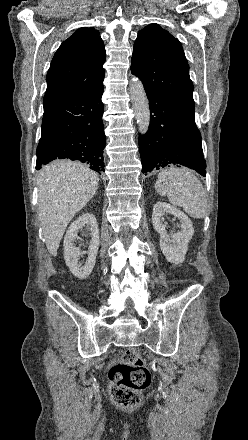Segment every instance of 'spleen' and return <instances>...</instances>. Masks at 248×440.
I'll use <instances>...</instances> for the list:
<instances>
[{"instance_id":"3e777b00","label":"spleen","mask_w":248,"mask_h":440,"mask_svg":"<svg viewBox=\"0 0 248 440\" xmlns=\"http://www.w3.org/2000/svg\"><path fill=\"white\" fill-rule=\"evenodd\" d=\"M157 193L193 218L203 219L207 213V200L199 179L189 170L170 167L158 174L155 184Z\"/></svg>"}]
</instances>
